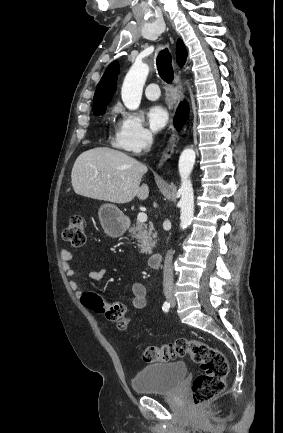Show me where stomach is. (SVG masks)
<instances>
[{"mask_svg": "<svg viewBox=\"0 0 283 433\" xmlns=\"http://www.w3.org/2000/svg\"><path fill=\"white\" fill-rule=\"evenodd\" d=\"M102 227L109 237H121L124 235L128 221L125 214L115 204H102L98 210Z\"/></svg>", "mask_w": 283, "mask_h": 433, "instance_id": "0dacf381", "label": "stomach"}]
</instances>
